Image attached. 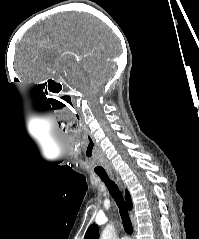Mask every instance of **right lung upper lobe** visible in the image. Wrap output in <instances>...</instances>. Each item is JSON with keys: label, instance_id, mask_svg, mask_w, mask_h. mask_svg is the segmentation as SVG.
<instances>
[{"label": "right lung upper lobe", "instance_id": "obj_1", "mask_svg": "<svg viewBox=\"0 0 199 239\" xmlns=\"http://www.w3.org/2000/svg\"><path fill=\"white\" fill-rule=\"evenodd\" d=\"M125 197H126V202L128 204V207H129V209H131L133 204H132V201H131V196H130V194H129L127 189L125 191ZM98 237H99L98 226L96 224H92L88 228V230H87V232L85 234L84 239H98Z\"/></svg>", "mask_w": 199, "mask_h": 239}]
</instances>
